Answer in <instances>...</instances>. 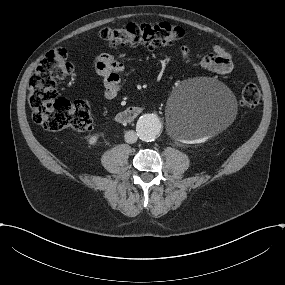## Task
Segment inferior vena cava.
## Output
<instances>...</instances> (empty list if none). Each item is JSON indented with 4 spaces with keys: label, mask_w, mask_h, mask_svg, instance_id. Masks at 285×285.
Masks as SVG:
<instances>
[{
    "label": "inferior vena cava",
    "mask_w": 285,
    "mask_h": 285,
    "mask_svg": "<svg viewBox=\"0 0 285 285\" xmlns=\"http://www.w3.org/2000/svg\"><path fill=\"white\" fill-rule=\"evenodd\" d=\"M124 138H125V142L132 144V143H135L137 141L138 136H137L135 131L130 130V131H127L125 133Z\"/></svg>",
    "instance_id": "obj_1"
}]
</instances>
